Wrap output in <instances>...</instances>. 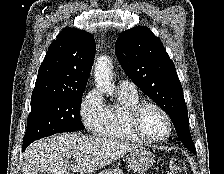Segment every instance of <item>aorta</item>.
Listing matches in <instances>:
<instances>
[{
	"instance_id": "obj_1",
	"label": "aorta",
	"mask_w": 224,
	"mask_h": 174,
	"mask_svg": "<svg viewBox=\"0 0 224 174\" xmlns=\"http://www.w3.org/2000/svg\"><path fill=\"white\" fill-rule=\"evenodd\" d=\"M112 62L106 56L97 59L94 70V77L97 87L101 88L108 95L113 94L114 86L111 83Z\"/></svg>"
}]
</instances>
